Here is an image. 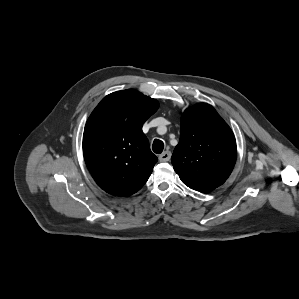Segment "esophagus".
<instances>
[{"label": "esophagus", "instance_id": "esophagus-1", "mask_svg": "<svg viewBox=\"0 0 299 299\" xmlns=\"http://www.w3.org/2000/svg\"><path fill=\"white\" fill-rule=\"evenodd\" d=\"M171 158V152L170 151H164L162 154L159 155V161L160 162H168Z\"/></svg>", "mask_w": 299, "mask_h": 299}]
</instances>
